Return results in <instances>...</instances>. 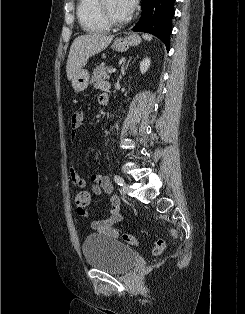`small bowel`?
Returning <instances> with one entry per match:
<instances>
[{
    "mask_svg": "<svg viewBox=\"0 0 245 314\" xmlns=\"http://www.w3.org/2000/svg\"><path fill=\"white\" fill-rule=\"evenodd\" d=\"M95 86L103 91H106L108 88L107 83H96ZM104 93L107 94L106 92H103L102 94ZM102 94L99 95L98 101L100 104H105V102H103L100 98ZM83 119L84 113L82 110H76L73 112L70 120V139L72 142L77 140V130L83 124ZM70 178L75 186L80 188L86 186V179L77 172L73 165L70 166ZM91 180L93 182L90 188L91 193L93 195H101L102 193L110 195V208L108 210V214L103 219L91 222L90 229L101 235L116 239L120 235V230L115 227V224L122 219L120 198L113 193V185L107 176L94 174L91 176ZM79 214L84 218L91 217L89 211Z\"/></svg>",
    "mask_w": 245,
    "mask_h": 314,
    "instance_id": "small-bowel-1",
    "label": "small bowel"
}]
</instances>
